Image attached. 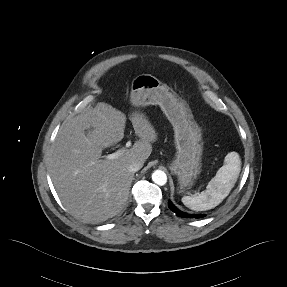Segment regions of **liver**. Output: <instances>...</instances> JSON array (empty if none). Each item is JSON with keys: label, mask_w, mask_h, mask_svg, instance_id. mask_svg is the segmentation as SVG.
Instances as JSON below:
<instances>
[{"label": "liver", "mask_w": 287, "mask_h": 287, "mask_svg": "<svg viewBox=\"0 0 287 287\" xmlns=\"http://www.w3.org/2000/svg\"><path fill=\"white\" fill-rule=\"evenodd\" d=\"M130 120L139 140L113 160L100 158L104 148L124 137L126 117L121 111L99 103L60 127L49 173L63 205L85 223H100L120 213L134 176L128 165L133 161L143 165L152 152L157 140L154 127L143 113H131Z\"/></svg>", "instance_id": "6515ba94"}]
</instances>
